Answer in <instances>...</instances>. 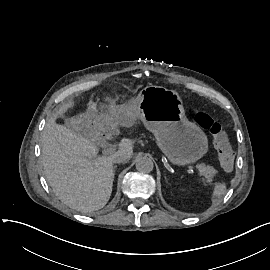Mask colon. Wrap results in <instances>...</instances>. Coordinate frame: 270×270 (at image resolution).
<instances>
[{
  "mask_svg": "<svg viewBox=\"0 0 270 270\" xmlns=\"http://www.w3.org/2000/svg\"><path fill=\"white\" fill-rule=\"evenodd\" d=\"M194 121L209 132L214 145L221 154L219 171L223 175H229L233 171V150L222 126L205 112H197L194 115Z\"/></svg>",
  "mask_w": 270,
  "mask_h": 270,
  "instance_id": "colon-1",
  "label": "colon"
}]
</instances>
